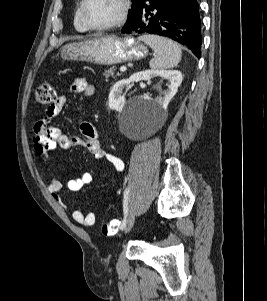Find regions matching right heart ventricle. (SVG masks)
<instances>
[{
    "mask_svg": "<svg viewBox=\"0 0 267 301\" xmlns=\"http://www.w3.org/2000/svg\"><path fill=\"white\" fill-rule=\"evenodd\" d=\"M80 4H81V1L78 2L77 6H76L75 13H74L73 24H74V28L77 31H79V32H86L87 29L83 25V23L81 21V18H80Z\"/></svg>",
    "mask_w": 267,
    "mask_h": 301,
    "instance_id": "1",
    "label": "right heart ventricle"
}]
</instances>
